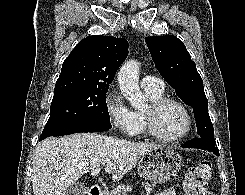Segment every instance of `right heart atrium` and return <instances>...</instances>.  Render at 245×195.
Listing matches in <instances>:
<instances>
[{"label": "right heart atrium", "instance_id": "obj_1", "mask_svg": "<svg viewBox=\"0 0 245 195\" xmlns=\"http://www.w3.org/2000/svg\"><path fill=\"white\" fill-rule=\"evenodd\" d=\"M105 110L114 130L131 135L134 130L133 111L128 108L119 91L110 89L105 96Z\"/></svg>", "mask_w": 245, "mask_h": 195}]
</instances>
